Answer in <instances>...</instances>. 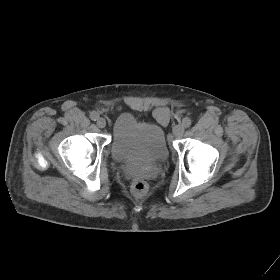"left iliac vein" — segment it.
Returning <instances> with one entry per match:
<instances>
[{
    "instance_id": "left-iliac-vein-1",
    "label": "left iliac vein",
    "mask_w": 280,
    "mask_h": 280,
    "mask_svg": "<svg viewBox=\"0 0 280 280\" xmlns=\"http://www.w3.org/2000/svg\"><path fill=\"white\" fill-rule=\"evenodd\" d=\"M184 134V127L182 125H176L173 128V135L175 138H181Z\"/></svg>"
}]
</instances>
